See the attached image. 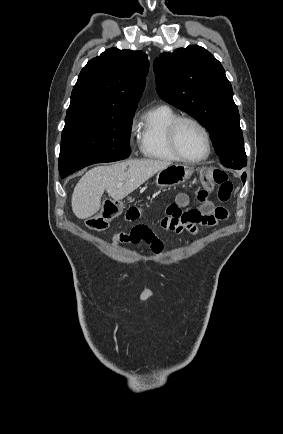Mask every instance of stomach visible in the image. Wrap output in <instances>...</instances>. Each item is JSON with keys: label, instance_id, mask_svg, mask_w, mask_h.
Wrapping results in <instances>:
<instances>
[{"label": "stomach", "instance_id": "1", "mask_svg": "<svg viewBox=\"0 0 283 434\" xmlns=\"http://www.w3.org/2000/svg\"><path fill=\"white\" fill-rule=\"evenodd\" d=\"M192 173L193 169L187 165L171 164L158 172L156 184L160 188L182 184L191 177Z\"/></svg>", "mask_w": 283, "mask_h": 434}]
</instances>
